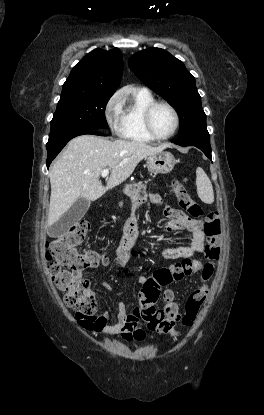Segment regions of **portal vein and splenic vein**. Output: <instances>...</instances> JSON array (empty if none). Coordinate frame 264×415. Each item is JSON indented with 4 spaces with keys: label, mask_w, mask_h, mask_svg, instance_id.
Listing matches in <instances>:
<instances>
[{
    "label": "portal vein and splenic vein",
    "mask_w": 264,
    "mask_h": 415,
    "mask_svg": "<svg viewBox=\"0 0 264 415\" xmlns=\"http://www.w3.org/2000/svg\"><path fill=\"white\" fill-rule=\"evenodd\" d=\"M109 175V169H103L101 172V176L103 178L107 177Z\"/></svg>",
    "instance_id": "portal-vein-and-splenic-vein-1"
}]
</instances>
